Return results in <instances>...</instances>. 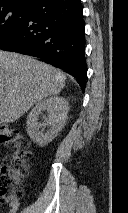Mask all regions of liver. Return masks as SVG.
<instances>
[{
  "instance_id": "1",
  "label": "liver",
  "mask_w": 128,
  "mask_h": 213,
  "mask_svg": "<svg viewBox=\"0 0 128 213\" xmlns=\"http://www.w3.org/2000/svg\"><path fill=\"white\" fill-rule=\"evenodd\" d=\"M59 69L30 56L0 50V122L19 119L33 104L65 86Z\"/></svg>"
}]
</instances>
